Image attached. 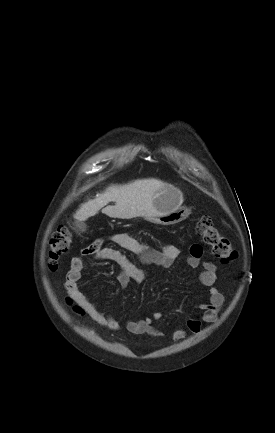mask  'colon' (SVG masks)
Wrapping results in <instances>:
<instances>
[{"mask_svg": "<svg viewBox=\"0 0 275 433\" xmlns=\"http://www.w3.org/2000/svg\"><path fill=\"white\" fill-rule=\"evenodd\" d=\"M196 230L203 241L211 247L213 255L222 262H231L236 258V251L231 247L228 239L219 233L211 217H201L197 222ZM71 242L72 234L69 226H61L52 234L48 252L52 269L57 268L59 259L69 250Z\"/></svg>", "mask_w": 275, "mask_h": 433, "instance_id": "1", "label": "colon"}]
</instances>
